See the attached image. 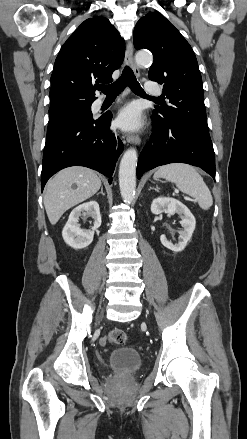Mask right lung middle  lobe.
I'll return each instance as SVG.
<instances>
[{
  "mask_svg": "<svg viewBox=\"0 0 247 439\" xmlns=\"http://www.w3.org/2000/svg\"><path fill=\"white\" fill-rule=\"evenodd\" d=\"M92 116L91 103H79L49 112L48 129L77 117Z\"/></svg>",
  "mask_w": 247,
  "mask_h": 439,
  "instance_id": "dd1d6c3e",
  "label": "right lung middle lobe"
}]
</instances>
